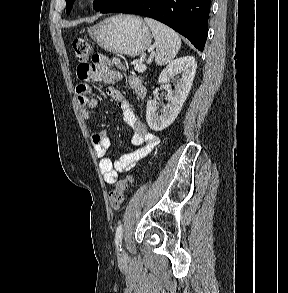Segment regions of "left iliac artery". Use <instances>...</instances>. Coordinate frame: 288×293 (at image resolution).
I'll list each match as a JSON object with an SVG mask.
<instances>
[{
  "instance_id": "obj_1",
  "label": "left iliac artery",
  "mask_w": 288,
  "mask_h": 293,
  "mask_svg": "<svg viewBox=\"0 0 288 293\" xmlns=\"http://www.w3.org/2000/svg\"><path fill=\"white\" fill-rule=\"evenodd\" d=\"M121 241H122V224L119 223L116 233H115V243L117 248L121 250Z\"/></svg>"
}]
</instances>
